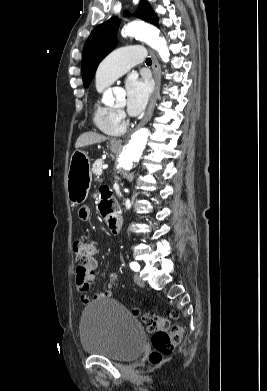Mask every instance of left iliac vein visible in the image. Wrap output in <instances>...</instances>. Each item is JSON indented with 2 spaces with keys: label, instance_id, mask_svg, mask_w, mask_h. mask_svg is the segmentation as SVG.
<instances>
[{
  "label": "left iliac vein",
  "instance_id": "4c4485c4",
  "mask_svg": "<svg viewBox=\"0 0 267 391\" xmlns=\"http://www.w3.org/2000/svg\"><path fill=\"white\" fill-rule=\"evenodd\" d=\"M134 282L140 286V287H143L145 285L144 281L142 280V278L138 275V273H136L134 275Z\"/></svg>",
  "mask_w": 267,
  "mask_h": 391
}]
</instances>
